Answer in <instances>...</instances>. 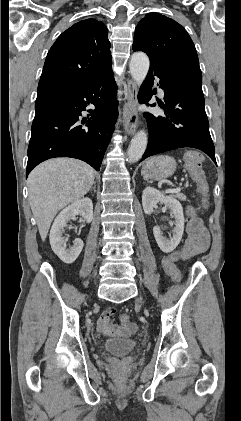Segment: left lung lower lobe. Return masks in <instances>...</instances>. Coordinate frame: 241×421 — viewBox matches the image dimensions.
Instances as JSON below:
<instances>
[{"mask_svg": "<svg viewBox=\"0 0 241 421\" xmlns=\"http://www.w3.org/2000/svg\"><path fill=\"white\" fill-rule=\"evenodd\" d=\"M155 77L160 79V88L165 93V104L158 103L165 110V116L146 113L149 140L141 161L155 154L191 147L205 152L216 164L215 148L204 108L202 79L191 73L178 72L150 62L149 72L141 88L144 102L151 99Z\"/></svg>", "mask_w": 241, "mask_h": 421, "instance_id": "left-lung-lower-lobe-1", "label": "left lung lower lobe"}]
</instances>
